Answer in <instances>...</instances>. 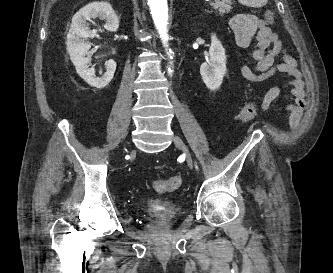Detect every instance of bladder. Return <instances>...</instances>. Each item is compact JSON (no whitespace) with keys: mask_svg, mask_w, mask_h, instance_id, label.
<instances>
[{"mask_svg":"<svg viewBox=\"0 0 333 273\" xmlns=\"http://www.w3.org/2000/svg\"><path fill=\"white\" fill-rule=\"evenodd\" d=\"M146 212L157 224L169 225L178 212V205L170 201H162L157 204L148 205Z\"/></svg>","mask_w":333,"mask_h":273,"instance_id":"bladder-1","label":"bladder"}]
</instances>
